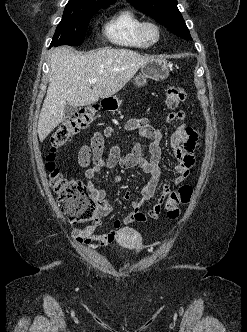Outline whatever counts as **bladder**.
Listing matches in <instances>:
<instances>
[{
  "mask_svg": "<svg viewBox=\"0 0 247 332\" xmlns=\"http://www.w3.org/2000/svg\"><path fill=\"white\" fill-rule=\"evenodd\" d=\"M137 242H138V238L135 236L134 243H137Z\"/></svg>",
  "mask_w": 247,
  "mask_h": 332,
  "instance_id": "bladder-1",
  "label": "bladder"
}]
</instances>
